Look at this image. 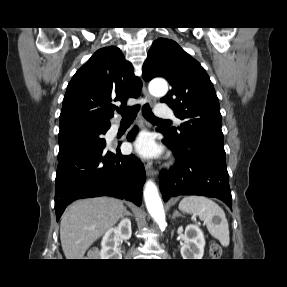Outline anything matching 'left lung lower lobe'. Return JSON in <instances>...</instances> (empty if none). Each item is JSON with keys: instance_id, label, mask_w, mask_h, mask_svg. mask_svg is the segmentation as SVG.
<instances>
[{"instance_id": "1", "label": "left lung lower lobe", "mask_w": 287, "mask_h": 287, "mask_svg": "<svg viewBox=\"0 0 287 287\" xmlns=\"http://www.w3.org/2000/svg\"><path fill=\"white\" fill-rule=\"evenodd\" d=\"M164 135V142L177 159L174 167L160 173V190L164 201L179 195H202L218 198L231 208L225 158L199 148H180Z\"/></svg>"}]
</instances>
